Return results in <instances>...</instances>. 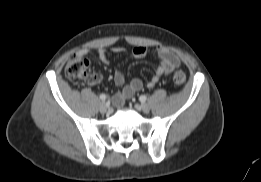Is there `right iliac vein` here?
Returning <instances> with one entry per match:
<instances>
[{
    "label": "right iliac vein",
    "instance_id": "obj_1",
    "mask_svg": "<svg viewBox=\"0 0 261 182\" xmlns=\"http://www.w3.org/2000/svg\"><path fill=\"white\" fill-rule=\"evenodd\" d=\"M99 110L101 113H106L109 110V107L107 106L106 103L102 102L99 105Z\"/></svg>",
    "mask_w": 261,
    "mask_h": 182
}]
</instances>
